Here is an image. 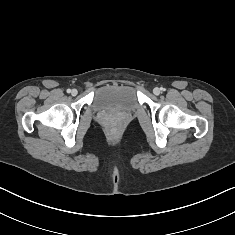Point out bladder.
Here are the masks:
<instances>
[{
    "mask_svg": "<svg viewBox=\"0 0 235 235\" xmlns=\"http://www.w3.org/2000/svg\"><path fill=\"white\" fill-rule=\"evenodd\" d=\"M133 90L125 85L104 87L96 92L93 108L98 112L128 114L138 109Z\"/></svg>",
    "mask_w": 235,
    "mask_h": 235,
    "instance_id": "bladder-1",
    "label": "bladder"
}]
</instances>
